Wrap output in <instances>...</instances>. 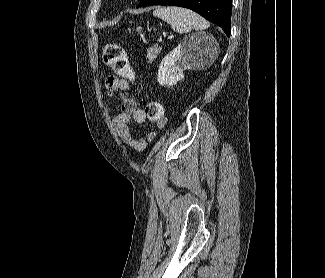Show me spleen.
<instances>
[{
	"label": "spleen",
	"instance_id": "1",
	"mask_svg": "<svg viewBox=\"0 0 325 278\" xmlns=\"http://www.w3.org/2000/svg\"><path fill=\"white\" fill-rule=\"evenodd\" d=\"M153 15L171 25L178 33H188L192 30H203L209 23L197 13L181 7H157Z\"/></svg>",
	"mask_w": 325,
	"mask_h": 278
}]
</instances>
